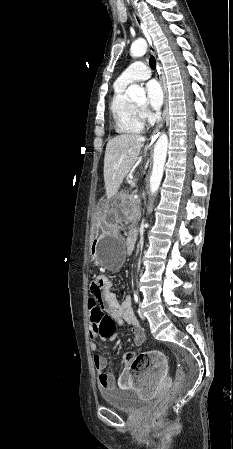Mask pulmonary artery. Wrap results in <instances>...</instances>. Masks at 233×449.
Instances as JSON below:
<instances>
[{
  "label": "pulmonary artery",
  "mask_w": 233,
  "mask_h": 449,
  "mask_svg": "<svg viewBox=\"0 0 233 449\" xmlns=\"http://www.w3.org/2000/svg\"><path fill=\"white\" fill-rule=\"evenodd\" d=\"M151 77L150 68L143 61H134L117 78L116 82L122 85H128L137 81H144Z\"/></svg>",
  "instance_id": "pulmonary-artery-1"
}]
</instances>
